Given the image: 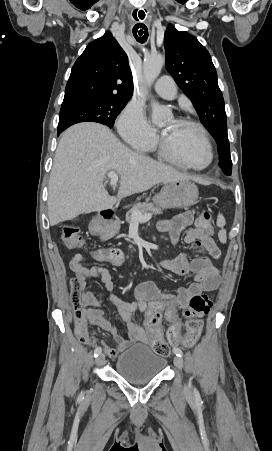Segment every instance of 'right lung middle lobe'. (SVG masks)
Segmentation results:
<instances>
[{"mask_svg": "<svg viewBox=\"0 0 272 451\" xmlns=\"http://www.w3.org/2000/svg\"><path fill=\"white\" fill-rule=\"evenodd\" d=\"M128 100L115 98L81 97L63 101L58 133L79 122H97L113 127L117 115Z\"/></svg>", "mask_w": 272, "mask_h": 451, "instance_id": "1", "label": "right lung middle lobe"}]
</instances>
